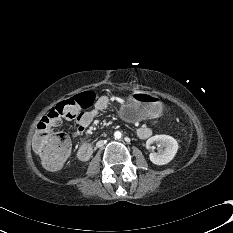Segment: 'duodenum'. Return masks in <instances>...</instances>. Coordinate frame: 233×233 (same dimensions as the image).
Listing matches in <instances>:
<instances>
[{
    "label": "duodenum",
    "instance_id": "duodenum-1",
    "mask_svg": "<svg viewBox=\"0 0 233 233\" xmlns=\"http://www.w3.org/2000/svg\"><path fill=\"white\" fill-rule=\"evenodd\" d=\"M94 152V146L90 144H83L78 150V157L82 161H88Z\"/></svg>",
    "mask_w": 233,
    "mask_h": 233
}]
</instances>
